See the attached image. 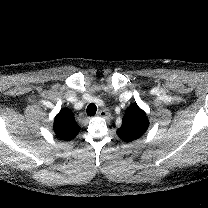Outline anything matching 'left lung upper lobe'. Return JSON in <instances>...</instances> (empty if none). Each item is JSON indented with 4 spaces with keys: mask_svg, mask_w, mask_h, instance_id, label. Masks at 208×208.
I'll return each mask as SVG.
<instances>
[{
    "mask_svg": "<svg viewBox=\"0 0 208 208\" xmlns=\"http://www.w3.org/2000/svg\"><path fill=\"white\" fill-rule=\"evenodd\" d=\"M148 126L146 113L134 103L126 109L122 125L117 129V135L125 142H129L141 137Z\"/></svg>",
    "mask_w": 208,
    "mask_h": 208,
    "instance_id": "1",
    "label": "left lung upper lobe"
}]
</instances>
